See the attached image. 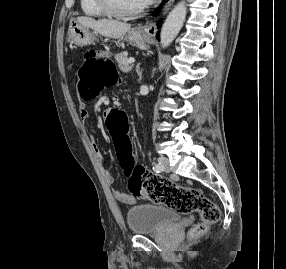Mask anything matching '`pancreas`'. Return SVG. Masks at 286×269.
<instances>
[{
    "label": "pancreas",
    "instance_id": "pancreas-1",
    "mask_svg": "<svg viewBox=\"0 0 286 269\" xmlns=\"http://www.w3.org/2000/svg\"><path fill=\"white\" fill-rule=\"evenodd\" d=\"M115 59L118 63V67L122 72H129L131 70V66L129 65V60L127 58V52H123L120 54H117L115 56Z\"/></svg>",
    "mask_w": 286,
    "mask_h": 269
}]
</instances>
